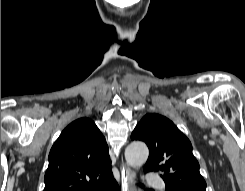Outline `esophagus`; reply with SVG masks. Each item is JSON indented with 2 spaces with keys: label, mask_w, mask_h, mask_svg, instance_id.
Segmentation results:
<instances>
[{
  "label": "esophagus",
  "mask_w": 245,
  "mask_h": 191,
  "mask_svg": "<svg viewBox=\"0 0 245 191\" xmlns=\"http://www.w3.org/2000/svg\"><path fill=\"white\" fill-rule=\"evenodd\" d=\"M120 170L122 191H134V172L123 161Z\"/></svg>",
  "instance_id": "34e87169"
}]
</instances>
